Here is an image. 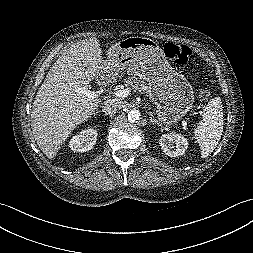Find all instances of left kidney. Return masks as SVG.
<instances>
[{"instance_id":"left-kidney-1","label":"left kidney","mask_w":253,"mask_h":253,"mask_svg":"<svg viewBox=\"0 0 253 253\" xmlns=\"http://www.w3.org/2000/svg\"><path fill=\"white\" fill-rule=\"evenodd\" d=\"M163 152L170 157L183 155L188 147V141L177 133L164 134L159 139Z\"/></svg>"}]
</instances>
